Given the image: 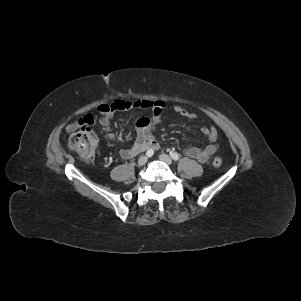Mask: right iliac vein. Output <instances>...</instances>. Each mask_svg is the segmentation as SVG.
<instances>
[{
  "label": "right iliac vein",
  "mask_w": 301,
  "mask_h": 301,
  "mask_svg": "<svg viewBox=\"0 0 301 301\" xmlns=\"http://www.w3.org/2000/svg\"><path fill=\"white\" fill-rule=\"evenodd\" d=\"M147 156H141L139 159H138V165L139 166H143L146 162H147Z\"/></svg>",
  "instance_id": "63e3f726"
}]
</instances>
